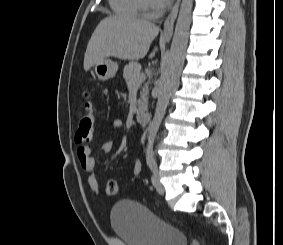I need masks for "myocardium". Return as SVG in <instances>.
Wrapping results in <instances>:
<instances>
[{
	"mask_svg": "<svg viewBox=\"0 0 283 245\" xmlns=\"http://www.w3.org/2000/svg\"><path fill=\"white\" fill-rule=\"evenodd\" d=\"M140 10L147 17H155L159 10L156 7L151 6L148 0H139Z\"/></svg>",
	"mask_w": 283,
	"mask_h": 245,
	"instance_id": "obj_1",
	"label": "myocardium"
}]
</instances>
